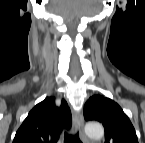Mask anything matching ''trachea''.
Wrapping results in <instances>:
<instances>
[{"label": "trachea", "instance_id": "1", "mask_svg": "<svg viewBox=\"0 0 145 143\" xmlns=\"http://www.w3.org/2000/svg\"><path fill=\"white\" fill-rule=\"evenodd\" d=\"M64 143H82L78 137V134L71 135L68 133L64 134Z\"/></svg>", "mask_w": 145, "mask_h": 143}]
</instances>
